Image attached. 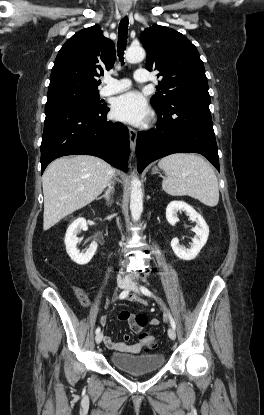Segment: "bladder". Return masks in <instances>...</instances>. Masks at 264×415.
<instances>
[{
  "mask_svg": "<svg viewBox=\"0 0 264 415\" xmlns=\"http://www.w3.org/2000/svg\"><path fill=\"white\" fill-rule=\"evenodd\" d=\"M110 360L116 368L137 375L161 369L165 364V355L162 353L131 355L117 352L111 355Z\"/></svg>",
  "mask_w": 264,
  "mask_h": 415,
  "instance_id": "obj_1",
  "label": "bladder"
}]
</instances>
